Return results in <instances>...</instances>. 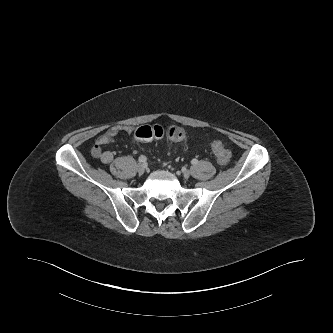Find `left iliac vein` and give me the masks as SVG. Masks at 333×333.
I'll return each instance as SVG.
<instances>
[{"instance_id": "obj_1", "label": "left iliac vein", "mask_w": 333, "mask_h": 333, "mask_svg": "<svg viewBox=\"0 0 333 333\" xmlns=\"http://www.w3.org/2000/svg\"><path fill=\"white\" fill-rule=\"evenodd\" d=\"M182 173H183V177H184V178H186V179H187V178H189V177H190V175H191V173H190V171H189V170H183V172H182Z\"/></svg>"}]
</instances>
